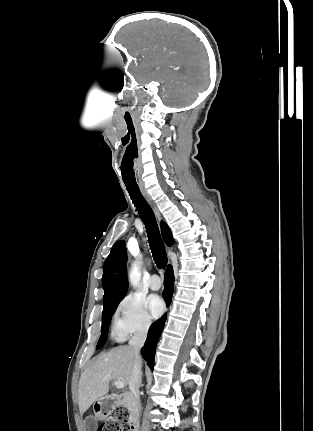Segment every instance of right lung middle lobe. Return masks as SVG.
Returning <instances> with one entry per match:
<instances>
[{
	"mask_svg": "<svg viewBox=\"0 0 313 431\" xmlns=\"http://www.w3.org/2000/svg\"><path fill=\"white\" fill-rule=\"evenodd\" d=\"M118 299L116 301H113L109 304H105L103 305V315H102V333H101V337L98 341L97 347L96 349L101 348L107 339V333H108V328H109V323L111 321V317L114 314L118 304L120 303V301L122 300Z\"/></svg>",
	"mask_w": 313,
	"mask_h": 431,
	"instance_id": "right-lung-middle-lobe-1",
	"label": "right lung middle lobe"
}]
</instances>
